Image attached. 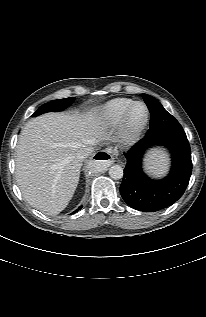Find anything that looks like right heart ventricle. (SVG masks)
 I'll list each match as a JSON object with an SVG mask.
<instances>
[{
    "label": "right heart ventricle",
    "instance_id": "right-heart-ventricle-1",
    "mask_svg": "<svg viewBox=\"0 0 206 317\" xmlns=\"http://www.w3.org/2000/svg\"><path fill=\"white\" fill-rule=\"evenodd\" d=\"M134 103L133 100L128 98H115L97 110V115L107 124H117L121 121L126 110Z\"/></svg>",
    "mask_w": 206,
    "mask_h": 317
}]
</instances>
